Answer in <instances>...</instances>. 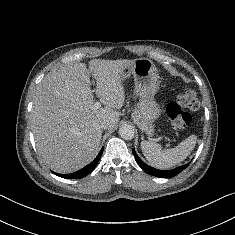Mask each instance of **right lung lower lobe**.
Instances as JSON below:
<instances>
[{"mask_svg": "<svg viewBox=\"0 0 235 235\" xmlns=\"http://www.w3.org/2000/svg\"><path fill=\"white\" fill-rule=\"evenodd\" d=\"M102 153H103V148L101 149V151L99 152L97 157L90 164H88L84 168H82V169H80V170H78L74 173H71V174H58V173H55V172H53V173L60 176V177H62V178H67V179H78V178L85 177L86 175H88L89 173H91L94 170V168L97 165Z\"/></svg>", "mask_w": 235, "mask_h": 235, "instance_id": "obj_1", "label": "right lung lower lobe"}]
</instances>
